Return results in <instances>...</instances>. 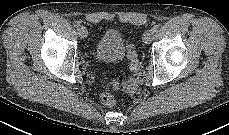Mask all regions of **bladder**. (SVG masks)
<instances>
[{
    "label": "bladder",
    "mask_w": 229,
    "mask_h": 135,
    "mask_svg": "<svg viewBox=\"0 0 229 135\" xmlns=\"http://www.w3.org/2000/svg\"><path fill=\"white\" fill-rule=\"evenodd\" d=\"M125 55V46L121 32L114 27H109L103 31L99 37L94 57L102 63L120 62Z\"/></svg>",
    "instance_id": "bladder-1"
}]
</instances>
